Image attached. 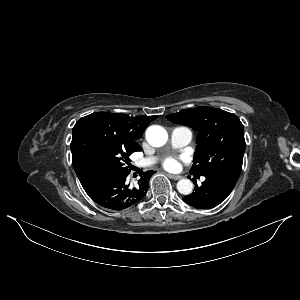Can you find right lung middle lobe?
<instances>
[{
    "instance_id": "dd1d6c3e",
    "label": "right lung middle lobe",
    "mask_w": 300,
    "mask_h": 300,
    "mask_svg": "<svg viewBox=\"0 0 300 300\" xmlns=\"http://www.w3.org/2000/svg\"><path fill=\"white\" fill-rule=\"evenodd\" d=\"M70 147L77 175L98 165L129 171V156L137 151L116 135L98 113L87 115L76 122Z\"/></svg>"
}]
</instances>
